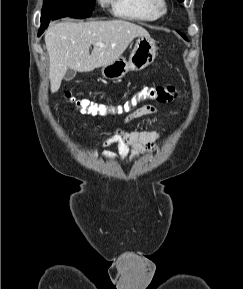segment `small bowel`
Instances as JSON below:
<instances>
[{"instance_id": "obj_1", "label": "small bowel", "mask_w": 243, "mask_h": 289, "mask_svg": "<svg viewBox=\"0 0 243 289\" xmlns=\"http://www.w3.org/2000/svg\"><path fill=\"white\" fill-rule=\"evenodd\" d=\"M157 111V108L151 104L141 106L126 116L125 123L145 115L155 114ZM96 128L99 129L100 126ZM159 140L160 132L157 130L126 131L117 129L108 142L117 146V153L112 155V159L122 160L129 156L138 157L142 153L158 150Z\"/></svg>"}]
</instances>
